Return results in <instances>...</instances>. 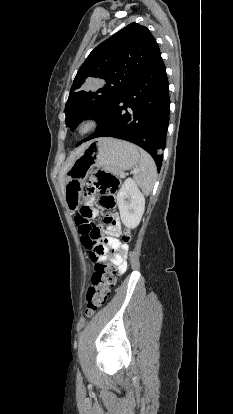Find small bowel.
Here are the masks:
<instances>
[{
	"label": "small bowel",
	"instance_id": "obj_1",
	"mask_svg": "<svg viewBox=\"0 0 233 414\" xmlns=\"http://www.w3.org/2000/svg\"><path fill=\"white\" fill-rule=\"evenodd\" d=\"M92 203L93 197H90L87 201V207L91 211V217H94L96 215V210L92 207ZM103 221L106 223L103 233L109 237V245L115 250V254L113 256L99 255L98 260L111 263L117 269L118 274H123L127 270V247L124 248L121 241L118 239L122 234V226L119 217L114 213L106 214L103 216Z\"/></svg>",
	"mask_w": 233,
	"mask_h": 414
}]
</instances>
